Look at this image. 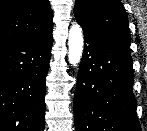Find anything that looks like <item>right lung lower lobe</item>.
<instances>
[{"instance_id":"1","label":"right lung lower lobe","mask_w":147,"mask_h":131,"mask_svg":"<svg viewBox=\"0 0 147 131\" xmlns=\"http://www.w3.org/2000/svg\"><path fill=\"white\" fill-rule=\"evenodd\" d=\"M52 31L0 50V131H44Z\"/></svg>"}]
</instances>
